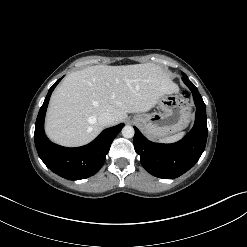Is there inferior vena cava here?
<instances>
[{"label":"inferior vena cava","instance_id":"inferior-vena-cava-1","mask_svg":"<svg viewBox=\"0 0 247 247\" xmlns=\"http://www.w3.org/2000/svg\"><path fill=\"white\" fill-rule=\"evenodd\" d=\"M98 122L102 126L112 125V124H114V115L109 113V112H104V113L99 115Z\"/></svg>","mask_w":247,"mask_h":247}]
</instances>
